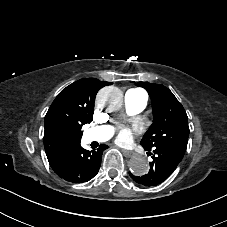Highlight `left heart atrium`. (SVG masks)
Listing matches in <instances>:
<instances>
[{"mask_svg": "<svg viewBox=\"0 0 227 227\" xmlns=\"http://www.w3.org/2000/svg\"><path fill=\"white\" fill-rule=\"evenodd\" d=\"M143 124L140 121H135L132 125L120 124L117 126L116 141L129 142L135 135L142 133Z\"/></svg>", "mask_w": 227, "mask_h": 227, "instance_id": "1", "label": "left heart atrium"}]
</instances>
